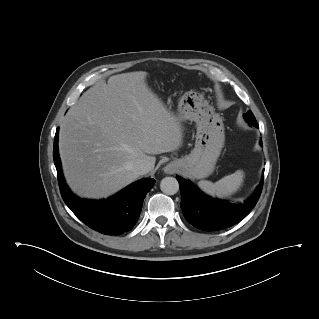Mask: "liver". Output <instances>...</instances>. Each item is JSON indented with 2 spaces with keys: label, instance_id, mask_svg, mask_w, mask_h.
<instances>
[{
  "label": "liver",
  "instance_id": "liver-1",
  "mask_svg": "<svg viewBox=\"0 0 319 319\" xmlns=\"http://www.w3.org/2000/svg\"><path fill=\"white\" fill-rule=\"evenodd\" d=\"M147 72L111 76L88 89L60 125L59 153L67 184L81 197L106 198L134 182L140 159L177 150L178 118L148 87Z\"/></svg>",
  "mask_w": 319,
  "mask_h": 319
}]
</instances>
